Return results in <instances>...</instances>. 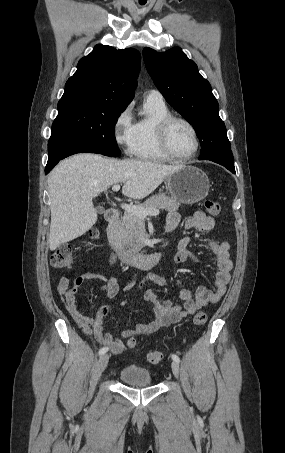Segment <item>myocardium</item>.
<instances>
[{
	"label": "myocardium",
	"mask_w": 285,
	"mask_h": 453,
	"mask_svg": "<svg viewBox=\"0 0 285 453\" xmlns=\"http://www.w3.org/2000/svg\"><path fill=\"white\" fill-rule=\"evenodd\" d=\"M176 122H181L185 124L191 132L193 133L194 139H195V148L194 150L187 154V155H179L175 153L169 143V133L171 130V127L173 126L174 123ZM157 138H158V143L162 151L171 159L175 160H187L192 158L199 150L200 147V138L197 129L195 126L187 119L175 115H169L162 119L157 127Z\"/></svg>",
	"instance_id": "obj_1"
}]
</instances>
